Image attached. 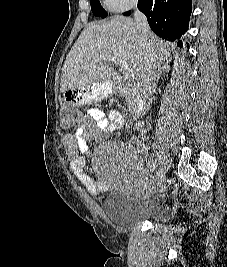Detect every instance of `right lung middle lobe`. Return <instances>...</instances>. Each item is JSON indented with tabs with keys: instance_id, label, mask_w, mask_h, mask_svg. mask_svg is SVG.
<instances>
[{
	"instance_id": "right-lung-middle-lobe-1",
	"label": "right lung middle lobe",
	"mask_w": 227,
	"mask_h": 267,
	"mask_svg": "<svg viewBox=\"0 0 227 267\" xmlns=\"http://www.w3.org/2000/svg\"><path fill=\"white\" fill-rule=\"evenodd\" d=\"M91 11L95 16L102 18L107 16V12L103 9L99 0H91Z\"/></svg>"
}]
</instances>
